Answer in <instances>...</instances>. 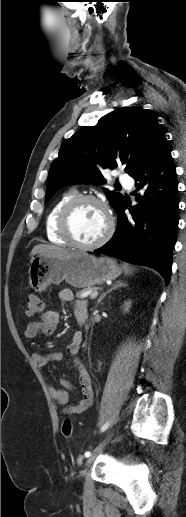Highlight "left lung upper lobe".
Instances as JSON below:
<instances>
[{"instance_id": "obj_1", "label": "left lung upper lobe", "mask_w": 186, "mask_h": 517, "mask_svg": "<svg viewBox=\"0 0 186 517\" xmlns=\"http://www.w3.org/2000/svg\"><path fill=\"white\" fill-rule=\"evenodd\" d=\"M165 134L157 119L139 106L122 107L85 127L62 144L48 175L46 201L66 185L103 184L101 171L125 165L130 176L155 150ZM116 210L122 194L104 189Z\"/></svg>"}]
</instances>
